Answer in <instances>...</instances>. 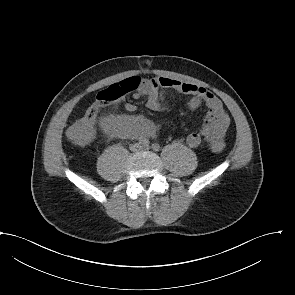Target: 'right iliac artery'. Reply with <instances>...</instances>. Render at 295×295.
<instances>
[{
  "label": "right iliac artery",
  "instance_id": "obj_1",
  "mask_svg": "<svg viewBox=\"0 0 295 295\" xmlns=\"http://www.w3.org/2000/svg\"><path fill=\"white\" fill-rule=\"evenodd\" d=\"M140 143L144 146H148L150 142L148 139L145 138V139H142Z\"/></svg>",
  "mask_w": 295,
  "mask_h": 295
}]
</instances>
